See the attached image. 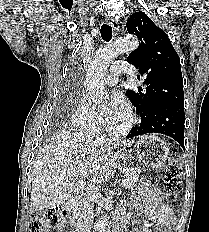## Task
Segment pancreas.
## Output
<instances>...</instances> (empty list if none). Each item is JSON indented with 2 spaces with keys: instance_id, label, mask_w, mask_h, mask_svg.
Returning a JSON list of instances; mask_svg holds the SVG:
<instances>
[{
  "instance_id": "cf45deb5",
  "label": "pancreas",
  "mask_w": 209,
  "mask_h": 232,
  "mask_svg": "<svg viewBox=\"0 0 209 232\" xmlns=\"http://www.w3.org/2000/svg\"><path fill=\"white\" fill-rule=\"evenodd\" d=\"M140 176V169L139 168H131L125 172V178L127 179L126 187L132 189L135 186V183L138 181ZM80 212H78L79 214Z\"/></svg>"
}]
</instances>
